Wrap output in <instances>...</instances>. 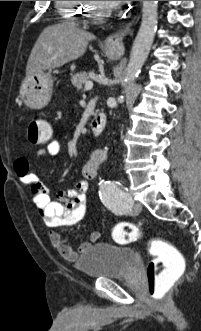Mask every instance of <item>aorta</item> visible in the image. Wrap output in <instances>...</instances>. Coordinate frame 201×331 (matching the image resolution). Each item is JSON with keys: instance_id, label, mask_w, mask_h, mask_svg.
Instances as JSON below:
<instances>
[{"instance_id": "762f6f07", "label": "aorta", "mask_w": 201, "mask_h": 331, "mask_svg": "<svg viewBox=\"0 0 201 331\" xmlns=\"http://www.w3.org/2000/svg\"><path fill=\"white\" fill-rule=\"evenodd\" d=\"M142 3V21L126 68L127 84L134 82L138 77L150 52L157 28L158 1H143Z\"/></svg>"}]
</instances>
